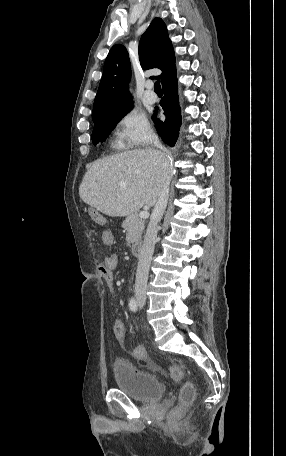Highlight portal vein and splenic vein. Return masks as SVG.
I'll use <instances>...</instances> for the list:
<instances>
[{"label": "portal vein and splenic vein", "instance_id": "obj_1", "mask_svg": "<svg viewBox=\"0 0 286 456\" xmlns=\"http://www.w3.org/2000/svg\"><path fill=\"white\" fill-rule=\"evenodd\" d=\"M139 217L142 218V219L148 218V217H149V212H148V210L145 209L144 211H141V212L139 213Z\"/></svg>", "mask_w": 286, "mask_h": 456}]
</instances>
